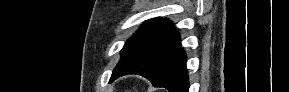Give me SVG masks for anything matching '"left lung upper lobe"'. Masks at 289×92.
Wrapping results in <instances>:
<instances>
[{
  "label": "left lung upper lobe",
  "mask_w": 289,
  "mask_h": 92,
  "mask_svg": "<svg viewBox=\"0 0 289 92\" xmlns=\"http://www.w3.org/2000/svg\"><path fill=\"white\" fill-rule=\"evenodd\" d=\"M168 19L153 18L146 21L125 43L121 50V59L115 69H121L137 58L159 36L172 26ZM112 72V73H113Z\"/></svg>",
  "instance_id": "left-lung-upper-lobe-1"
}]
</instances>
